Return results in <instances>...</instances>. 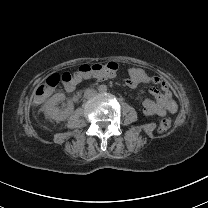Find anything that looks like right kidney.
Here are the masks:
<instances>
[{
	"mask_svg": "<svg viewBox=\"0 0 208 208\" xmlns=\"http://www.w3.org/2000/svg\"><path fill=\"white\" fill-rule=\"evenodd\" d=\"M63 100H65V95L63 93L54 94L44 105L45 114L56 121H64L67 119L73 111V104L69 103L66 110H59L55 107L58 102Z\"/></svg>",
	"mask_w": 208,
	"mask_h": 208,
	"instance_id": "obj_1",
	"label": "right kidney"
}]
</instances>
